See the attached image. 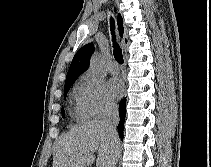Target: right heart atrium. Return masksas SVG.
<instances>
[{
  "instance_id": "d8ad5b80",
  "label": "right heart atrium",
  "mask_w": 211,
  "mask_h": 167,
  "mask_svg": "<svg viewBox=\"0 0 211 167\" xmlns=\"http://www.w3.org/2000/svg\"><path fill=\"white\" fill-rule=\"evenodd\" d=\"M77 91L82 109L88 117L101 118L115 111L114 101L107 95L102 80L92 72L84 73Z\"/></svg>"
}]
</instances>
